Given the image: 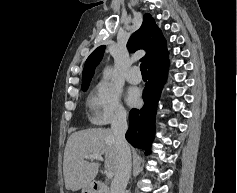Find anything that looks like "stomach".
I'll return each instance as SVG.
<instances>
[{
	"label": "stomach",
	"mask_w": 237,
	"mask_h": 193,
	"mask_svg": "<svg viewBox=\"0 0 237 193\" xmlns=\"http://www.w3.org/2000/svg\"><path fill=\"white\" fill-rule=\"evenodd\" d=\"M82 193H95L94 187L92 184H89L82 188Z\"/></svg>",
	"instance_id": "1"
}]
</instances>
